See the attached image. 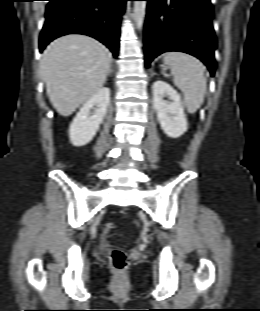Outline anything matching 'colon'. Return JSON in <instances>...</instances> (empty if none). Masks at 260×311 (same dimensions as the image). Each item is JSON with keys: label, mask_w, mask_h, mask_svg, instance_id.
<instances>
[{"label": "colon", "mask_w": 260, "mask_h": 311, "mask_svg": "<svg viewBox=\"0 0 260 311\" xmlns=\"http://www.w3.org/2000/svg\"><path fill=\"white\" fill-rule=\"evenodd\" d=\"M115 225L111 222L106 223L104 226V233L109 234L112 230H114ZM109 261L113 269L118 272L124 271L128 266V258L127 255L119 249H113L109 253Z\"/></svg>", "instance_id": "5ec220e1"}]
</instances>
